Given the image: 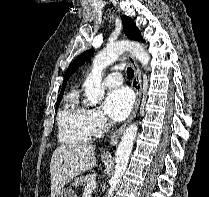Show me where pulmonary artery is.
Returning <instances> with one entry per match:
<instances>
[{
	"label": "pulmonary artery",
	"mask_w": 209,
	"mask_h": 197,
	"mask_svg": "<svg viewBox=\"0 0 209 197\" xmlns=\"http://www.w3.org/2000/svg\"><path fill=\"white\" fill-rule=\"evenodd\" d=\"M122 68L116 67L113 68L104 78V85L108 87H115L120 85L123 82L122 75L119 70Z\"/></svg>",
	"instance_id": "obj_1"
}]
</instances>
